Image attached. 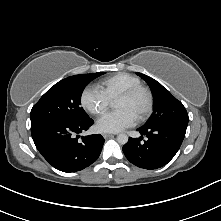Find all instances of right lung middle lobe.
I'll return each instance as SVG.
<instances>
[{"instance_id": "right-lung-middle-lobe-1", "label": "right lung middle lobe", "mask_w": 221, "mask_h": 221, "mask_svg": "<svg viewBox=\"0 0 221 221\" xmlns=\"http://www.w3.org/2000/svg\"><path fill=\"white\" fill-rule=\"evenodd\" d=\"M104 74L74 75L52 86L33 106L31 124L47 120L83 121L89 118L81 104L85 86L96 77Z\"/></svg>"}]
</instances>
